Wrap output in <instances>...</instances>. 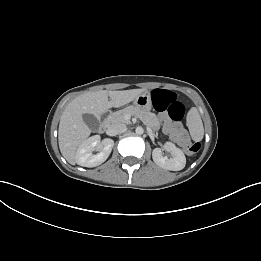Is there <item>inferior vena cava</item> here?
<instances>
[{"label":"inferior vena cava","mask_w":261,"mask_h":261,"mask_svg":"<svg viewBox=\"0 0 261 261\" xmlns=\"http://www.w3.org/2000/svg\"><path fill=\"white\" fill-rule=\"evenodd\" d=\"M126 128V125L121 124V123H115L112 124L108 127V129L106 130V134L109 136H116L120 133H122Z\"/></svg>","instance_id":"inferior-vena-cava-1"}]
</instances>
